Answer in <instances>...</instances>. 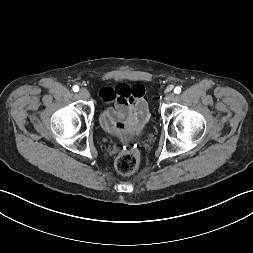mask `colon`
I'll use <instances>...</instances> for the list:
<instances>
[{
  "label": "colon",
  "instance_id": "colon-1",
  "mask_svg": "<svg viewBox=\"0 0 253 253\" xmlns=\"http://www.w3.org/2000/svg\"><path fill=\"white\" fill-rule=\"evenodd\" d=\"M139 158L132 150L121 151L115 160V168L122 175H131L138 169Z\"/></svg>",
  "mask_w": 253,
  "mask_h": 253
}]
</instances>
